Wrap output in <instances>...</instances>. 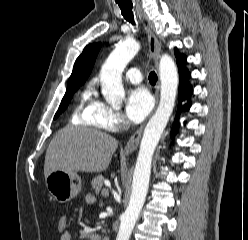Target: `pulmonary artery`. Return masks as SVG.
<instances>
[{"label": "pulmonary artery", "instance_id": "obj_1", "mask_svg": "<svg viewBox=\"0 0 248 240\" xmlns=\"http://www.w3.org/2000/svg\"><path fill=\"white\" fill-rule=\"evenodd\" d=\"M126 80L133 84H138L142 81V75L139 69H129L124 74Z\"/></svg>", "mask_w": 248, "mask_h": 240}]
</instances>
